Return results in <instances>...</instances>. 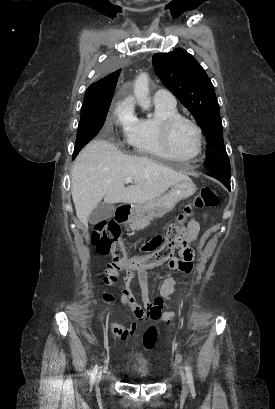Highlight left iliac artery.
<instances>
[{
  "mask_svg": "<svg viewBox=\"0 0 275 409\" xmlns=\"http://www.w3.org/2000/svg\"><path fill=\"white\" fill-rule=\"evenodd\" d=\"M185 371H186L188 384H189L190 387H193L194 386L193 375H192L191 369H190V367L188 365H186Z\"/></svg>",
  "mask_w": 275,
  "mask_h": 409,
  "instance_id": "1",
  "label": "left iliac artery"
}]
</instances>
